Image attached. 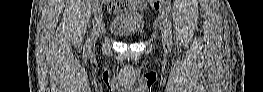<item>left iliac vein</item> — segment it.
<instances>
[{"mask_svg":"<svg viewBox=\"0 0 263 92\" xmlns=\"http://www.w3.org/2000/svg\"><path fill=\"white\" fill-rule=\"evenodd\" d=\"M162 40H163V45H164L165 50H169L170 49V45H169L166 29H164L162 31Z\"/></svg>","mask_w":263,"mask_h":92,"instance_id":"left-iliac-vein-1","label":"left iliac vein"}]
</instances>
